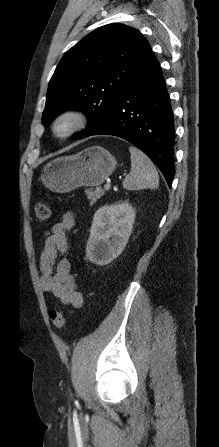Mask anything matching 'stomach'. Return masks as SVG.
<instances>
[{"mask_svg": "<svg viewBox=\"0 0 219 447\" xmlns=\"http://www.w3.org/2000/svg\"><path fill=\"white\" fill-rule=\"evenodd\" d=\"M115 157L100 146H91L77 154L62 156L47 163L42 183L51 191L67 193L80 186L102 184L116 168Z\"/></svg>", "mask_w": 219, "mask_h": 447, "instance_id": "stomach-1", "label": "stomach"}]
</instances>
